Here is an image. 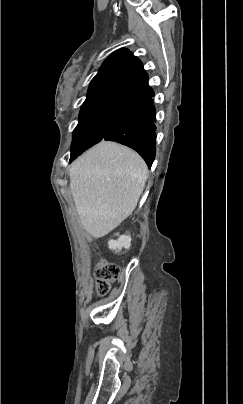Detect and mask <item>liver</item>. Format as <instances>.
<instances>
[{
	"mask_svg": "<svg viewBox=\"0 0 243 404\" xmlns=\"http://www.w3.org/2000/svg\"><path fill=\"white\" fill-rule=\"evenodd\" d=\"M147 174L144 160L116 142H100L71 164L70 190L89 236L103 238L132 214Z\"/></svg>",
	"mask_w": 243,
	"mask_h": 404,
	"instance_id": "liver-1",
	"label": "liver"
}]
</instances>
